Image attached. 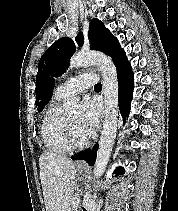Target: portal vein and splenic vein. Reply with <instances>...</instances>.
Segmentation results:
<instances>
[{
  "label": "portal vein and splenic vein",
  "instance_id": "18ae733b",
  "mask_svg": "<svg viewBox=\"0 0 178 211\" xmlns=\"http://www.w3.org/2000/svg\"><path fill=\"white\" fill-rule=\"evenodd\" d=\"M80 203V199L76 200L73 204L74 207H77V205Z\"/></svg>",
  "mask_w": 178,
  "mask_h": 211
}]
</instances>
